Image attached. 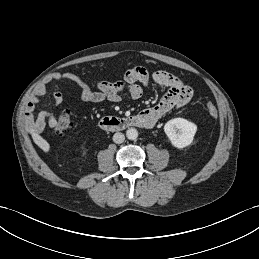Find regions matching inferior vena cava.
<instances>
[{"label": "inferior vena cava", "mask_w": 259, "mask_h": 259, "mask_svg": "<svg viewBox=\"0 0 259 259\" xmlns=\"http://www.w3.org/2000/svg\"><path fill=\"white\" fill-rule=\"evenodd\" d=\"M125 140V136L123 133H115L113 135V141L116 143V144H121L123 141Z\"/></svg>", "instance_id": "1"}]
</instances>
